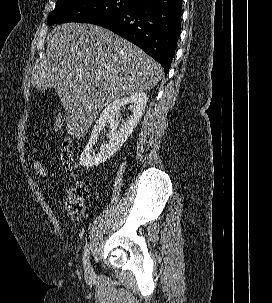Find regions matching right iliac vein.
I'll return each instance as SVG.
<instances>
[{
    "label": "right iliac vein",
    "instance_id": "right-iliac-vein-1",
    "mask_svg": "<svg viewBox=\"0 0 272 303\" xmlns=\"http://www.w3.org/2000/svg\"><path fill=\"white\" fill-rule=\"evenodd\" d=\"M85 277L88 279V280H92L94 278V271H93V268L91 266V264L89 263L87 268H86V271H85Z\"/></svg>",
    "mask_w": 272,
    "mask_h": 303
}]
</instances>
